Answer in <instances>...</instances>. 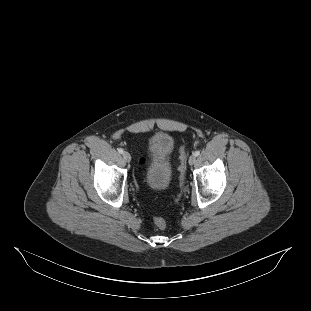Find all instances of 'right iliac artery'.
<instances>
[{
	"mask_svg": "<svg viewBox=\"0 0 311 311\" xmlns=\"http://www.w3.org/2000/svg\"><path fill=\"white\" fill-rule=\"evenodd\" d=\"M118 152H119L120 154H123L124 151H123L122 148H119V149H118Z\"/></svg>",
	"mask_w": 311,
	"mask_h": 311,
	"instance_id": "82829eb1",
	"label": "right iliac artery"
}]
</instances>
